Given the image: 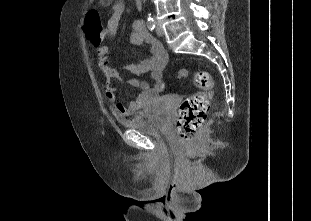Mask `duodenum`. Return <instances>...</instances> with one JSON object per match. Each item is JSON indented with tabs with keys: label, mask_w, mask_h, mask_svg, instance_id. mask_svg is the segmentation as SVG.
<instances>
[{
	"label": "duodenum",
	"mask_w": 311,
	"mask_h": 221,
	"mask_svg": "<svg viewBox=\"0 0 311 221\" xmlns=\"http://www.w3.org/2000/svg\"><path fill=\"white\" fill-rule=\"evenodd\" d=\"M143 3H144V0H136V5L139 9H142ZM142 23L145 25L144 21Z\"/></svg>",
	"instance_id": "410a0bca"
}]
</instances>
